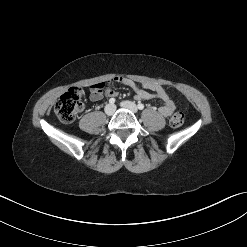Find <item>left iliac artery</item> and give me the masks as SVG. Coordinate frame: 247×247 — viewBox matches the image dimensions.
<instances>
[{"label": "left iliac artery", "instance_id": "obj_1", "mask_svg": "<svg viewBox=\"0 0 247 247\" xmlns=\"http://www.w3.org/2000/svg\"><path fill=\"white\" fill-rule=\"evenodd\" d=\"M138 109H140V110L144 109V104L139 103V104H138Z\"/></svg>", "mask_w": 247, "mask_h": 247}]
</instances>
